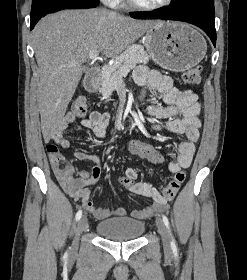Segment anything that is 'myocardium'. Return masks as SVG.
Segmentation results:
<instances>
[{"instance_id":"obj_1","label":"myocardium","mask_w":247,"mask_h":280,"mask_svg":"<svg viewBox=\"0 0 247 280\" xmlns=\"http://www.w3.org/2000/svg\"><path fill=\"white\" fill-rule=\"evenodd\" d=\"M127 2L131 7L135 8L137 10L157 11V10H161V9L168 7L173 2V0H162L161 2L152 4V5H144V4L137 2L136 0H127Z\"/></svg>"}]
</instances>
